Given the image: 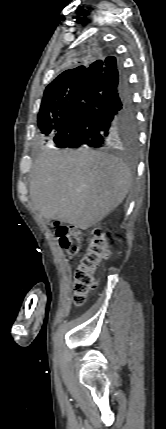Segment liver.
Segmentation results:
<instances>
[{
    "instance_id": "liver-1",
    "label": "liver",
    "mask_w": 166,
    "mask_h": 429,
    "mask_svg": "<svg viewBox=\"0 0 166 429\" xmlns=\"http://www.w3.org/2000/svg\"><path fill=\"white\" fill-rule=\"evenodd\" d=\"M129 167L105 152L45 150L34 162L29 194L34 210L86 230L109 215L127 196Z\"/></svg>"
}]
</instances>
